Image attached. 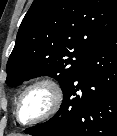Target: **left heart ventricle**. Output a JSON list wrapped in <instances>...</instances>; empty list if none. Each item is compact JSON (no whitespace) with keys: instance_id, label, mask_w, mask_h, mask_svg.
Listing matches in <instances>:
<instances>
[{"instance_id":"b2bd125f","label":"left heart ventricle","mask_w":117,"mask_h":136,"mask_svg":"<svg viewBox=\"0 0 117 136\" xmlns=\"http://www.w3.org/2000/svg\"><path fill=\"white\" fill-rule=\"evenodd\" d=\"M50 93L44 88L31 90L23 98L20 105V118L29 121L43 114L50 106Z\"/></svg>"}]
</instances>
